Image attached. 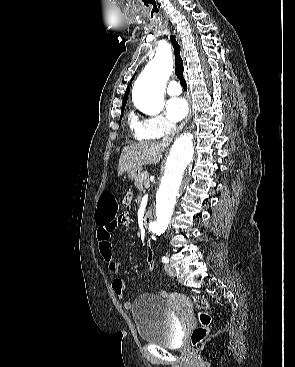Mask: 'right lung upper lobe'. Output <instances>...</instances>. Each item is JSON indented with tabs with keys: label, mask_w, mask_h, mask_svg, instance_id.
Here are the masks:
<instances>
[{
	"label": "right lung upper lobe",
	"mask_w": 295,
	"mask_h": 367,
	"mask_svg": "<svg viewBox=\"0 0 295 367\" xmlns=\"http://www.w3.org/2000/svg\"><path fill=\"white\" fill-rule=\"evenodd\" d=\"M133 79H134V76L132 77V80ZM129 91H130V86H128L127 89H126V92H125L124 97H123L122 105L127 103V98H128Z\"/></svg>",
	"instance_id": "1"
}]
</instances>
